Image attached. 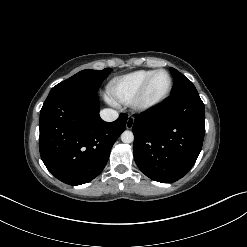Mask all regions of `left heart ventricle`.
I'll return each instance as SVG.
<instances>
[{"label": "left heart ventricle", "instance_id": "left-heart-ventricle-1", "mask_svg": "<svg viewBox=\"0 0 247 247\" xmlns=\"http://www.w3.org/2000/svg\"><path fill=\"white\" fill-rule=\"evenodd\" d=\"M168 87V77L164 73H160L153 79L149 92V99H156L160 97Z\"/></svg>", "mask_w": 247, "mask_h": 247}]
</instances>
